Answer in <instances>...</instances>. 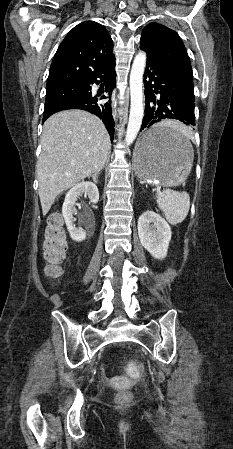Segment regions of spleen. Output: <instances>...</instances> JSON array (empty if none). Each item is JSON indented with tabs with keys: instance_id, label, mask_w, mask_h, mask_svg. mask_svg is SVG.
I'll use <instances>...</instances> for the list:
<instances>
[{
	"instance_id": "spleen-1",
	"label": "spleen",
	"mask_w": 233,
	"mask_h": 449,
	"mask_svg": "<svg viewBox=\"0 0 233 449\" xmlns=\"http://www.w3.org/2000/svg\"><path fill=\"white\" fill-rule=\"evenodd\" d=\"M169 127L177 129L180 133H185L187 137L188 126L186 124L180 125H168ZM157 204L163 211L166 220L176 225L181 223L188 215L190 208V199L186 192H178L171 189H165L162 192L157 190L156 193Z\"/></svg>"
}]
</instances>
